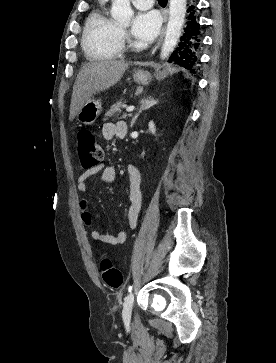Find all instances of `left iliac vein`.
I'll list each match as a JSON object with an SVG mask.
<instances>
[{
  "label": "left iliac vein",
  "instance_id": "obj_1",
  "mask_svg": "<svg viewBox=\"0 0 276 363\" xmlns=\"http://www.w3.org/2000/svg\"><path fill=\"white\" fill-rule=\"evenodd\" d=\"M134 303V295L133 293H129L124 301L123 306V319L129 320L131 317V311Z\"/></svg>",
  "mask_w": 276,
  "mask_h": 363
}]
</instances>
